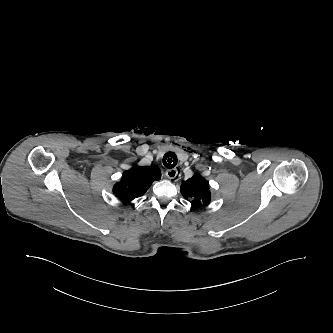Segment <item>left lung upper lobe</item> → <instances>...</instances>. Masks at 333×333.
Masks as SVG:
<instances>
[{"mask_svg": "<svg viewBox=\"0 0 333 333\" xmlns=\"http://www.w3.org/2000/svg\"><path fill=\"white\" fill-rule=\"evenodd\" d=\"M181 193L185 198L192 200V208L195 209L210 202L209 182L199 174L182 182Z\"/></svg>", "mask_w": 333, "mask_h": 333, "instance_id": "1", "label": "left lung upper lobe"}]
</instances>
